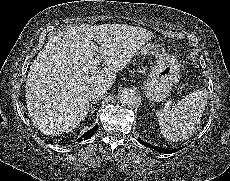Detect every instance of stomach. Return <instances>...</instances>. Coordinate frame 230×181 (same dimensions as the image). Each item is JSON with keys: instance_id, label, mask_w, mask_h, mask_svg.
Listing matches in <instances>:
<instances>
[{"instance_id": "obj_1", "label": "stomach", "mask_w": 230, "mask_h": 181, "mask_svg": "<svg viewBox=\"0 0 230 181\" xmlns=\"http://www.w3.org/2000/svg\"><path fill=\"white\" fill-rule=\"evenodd\" d=\"M178 78L179 66L176 60L171 55L162 53L149 78L143 83V92L150 101H164Z\"/></svg>"}]
</instances>
